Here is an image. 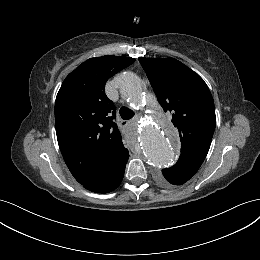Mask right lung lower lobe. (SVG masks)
I'll use <instances>...</instances> for the list:
<instances>
[{
  "instance_id": "98d812e1",
  "label": "right lung lower lobe",
  "mask_w": 260,
  "mask_h": 260,
  "mask_svg": "<svg viewBox=\"0 0 260 260\" xmlns=\"http://www.w3.org/2000/svg\"><path fill=\"white\" fill-rule=\"evenodd\" d=\"M127 160L108 175L82 185L95 193H108L115 190L123 179Z\"/></svg>"
}]
</instances>
